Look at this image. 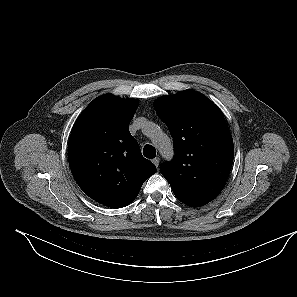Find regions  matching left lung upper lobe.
<instances>
[{
	"instance_id": "obj_1",
	"label": "left lung upper lobe",
	"mask_w": 297,
	"mask_h": 297,
	"mask_svg": "<svg viewBox=\"0 0 297 297\" xmlns=\"http://www.w3.org/2000/svg\"><path fill=\"white\" fill-rule=\"evenodd\" d=\"M154 109L167 125L176 153L172 162L162 165V175L182 203L190 207L209 203L222 191L234 158L221 110L194 90L160 97Z\"/></svg>"
}]
</instances>
